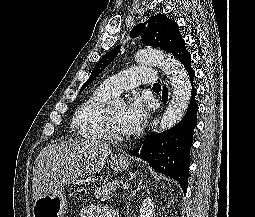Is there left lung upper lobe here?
Returning <instances> with one entry per match:
<instances>
[{
	"instance_id": "obj_1",
	"label": "left lung upper lobe",
	"mask_w": 255,
	"mask_h": 217,
	"mask_svg": "<svg viewBox=\"0 0 255 217\" xmlns=\"http://www.w3.org/2000/svg\"><path fill=\"white\" fill-rule=\"evenodd\" d=\"M148 28L142 35V42L148 46L160 47L164 51L174 54L185 46L177 23L167 18L163 14H157L148 19ZM144 30V24H137L131 31L132 38L138 36ZM120 50V46L115 47L106 53L95 65L89 79L82 85L81 90L85 89L94 79L113 61Z\"/></svg>"
}]
</instances>
